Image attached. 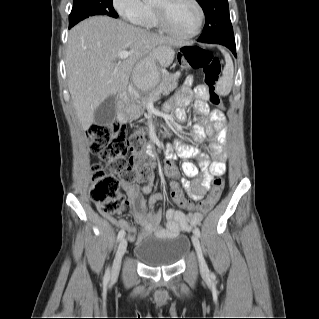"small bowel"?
<instances>
[{"mask_svg":"<svg viewBox=\"0 0 319 319\" xmlns=\"http://www.w3.org/2000/svg\"><path fill=\"white\" fill-rule=\"evenodd\" d=\"M194 77L188 76L181 84L179 89L172 95L168 103L164 105V112H169L174 103L178 105L176 114L179 119H186L185 108L195 99L194 110L200 120L192 127V134L189 137L191 142H201L206 137H210L209 147L212 152L213 161H207L198 147L193 144H183L182 138L177 139L174 143V150L182 158H195L198 161L203 173L199 176L198 169L192 162H184L182 171L188 179L181 180V186L187 196L193 201H200L204 198L210 188L211 179L214 176L225 174L226 154L223 145L226 143V117L219 109H210L206 103V90L202 86L192 88ZM151 153V151H149ZM173 159L175 155H170ZM155 166V164H154ZM167 175L177 174V169L172 161L166 163ZM154 174L145 180V185L140 187L138 183L121 182L122 189L127 194V204L133 208V216L137 225L140 226L141 232L136 237L135 228L124 219H118L107 215V219L116 227L128 231L129 240H141L152 231L163 235H174L179 232H186L198 225L202 221V214L199 211L184 213L173 209L165 213L155 212L156 202L164 199L162 193H154L146 201L143 194H149L153 186ZM174 204L176 202L173 200ZM179 206V205H178ZM165 218V224L162 226L160 220Z\"/></svg>","mask_w":319,"mask_h":319,"instance_id":"obj_1","label":"small bowel"}]
</instances>
